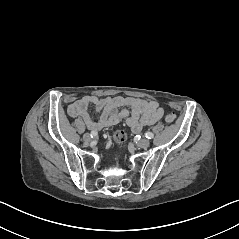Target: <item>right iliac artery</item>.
I'll list each match as a JSON object with an SVG mask.
<instances>
[{"label":"right iliac artery","mask_w":239,"mask_h":239,"mask_svg":"<svg viewBox=\"0 0 239 239\" xmlns=\"http://www.w3.org/2000/svg\"><path fill=\"white\" fill-rule=\"evenodd\" d=\"M97 131H91V134H90V136L92 137V138H94V137H96L97 136Z\"/></svg>","instance_id":"obj_1"}]
</instances>
